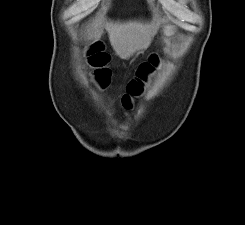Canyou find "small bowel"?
Segmentation results:
<instances>
[{
	"mask_svg": "<svg viewBox=\"0 0 245 225\" xmlns=\"http://www.w3.org/2000/svg\"><path fill=\"white\" fill-rule=\"evenodd\" d=\"M103 59H104V61H105L106 64L110 62V57H109V56H106V55H105V56L103 57Z\"/></svg>",
	"mask_w": 245,
	"mask_h": 225,
	"instance_id": "c3829d8e",
	"label": "small bowel"
}]
</instances>
